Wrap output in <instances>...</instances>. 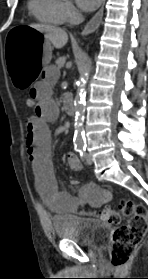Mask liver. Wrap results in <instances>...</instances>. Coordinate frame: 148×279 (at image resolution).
<instances>
[{"instance_id": "liver-1", "label": "liver", "mask_w": 148, "mask_h": 279, "mask_svg": "<svg viewBox=\"0 0 148 279\" xmlns=\"http://www.w3.org/2000/svg\"><path fill=\"white\" fill-rule=\"evenodd\" d=\"M29 27L44 34L45 38L56 48L60 49L64 47L68 41V35L65 30L51 26V25H41L32 24Z\"/></svg>"}]
</instances>
